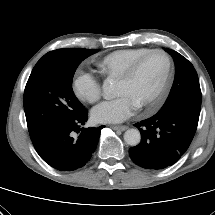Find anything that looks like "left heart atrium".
I'll list each match as a JSON object with an SVG mask.
<instances>
[{"label":"left heart atrium","mask_w":215,"mask_h":215,"mask_svg":"<svg viewBox=\"0 0 215 215\" xmlns=\"http://www.w3.org/2000/svg\"><path fill=\"white\" fill-rule=\"evenodd\" d=\"M138 105L127 94L104 101L92 110V118L101 124H115L123 122L133 115Z\"/></svg>","instance_id":"39dd6f15"}]
</instances>
